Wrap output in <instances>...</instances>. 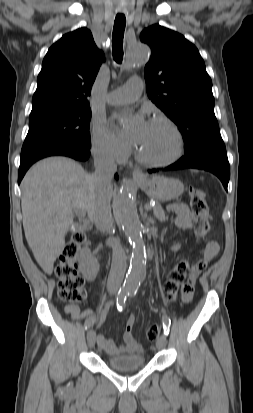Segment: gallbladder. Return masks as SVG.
<instances>
[{
    "mask_svg": "<svg viewBox=\"0 0 253 413\" xmlns=\"http://www.w3.org/2000/svg\"><path fill=\"white\" fill-rule=\"evenodd\" d=\"M77 229V225L75 224V225H73V227H71V230L73 231V230H76Z\"/></svg>",
    "mask_w": 253,
    "mask_h": 413,
    "instance_id": "bac80fb5",
    "label": "gallbladder"
}]
</instances>
